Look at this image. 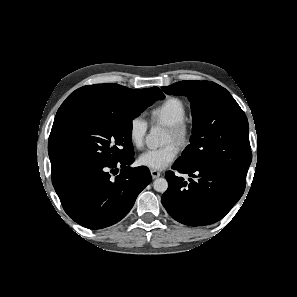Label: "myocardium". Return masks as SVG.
I'll return each instance as SVG.
<instances>
[{
    "label": "myocardium",
    "mask_w": 297,
    "mask_h": 297,
    "mask_svg": "<svg viewBox=\"0 0 297 297\" xmlns=\"http://www.w3.org/2000/svg\"><path fill=\"white\" fill-rule=\"evenodd\" d=\"M168 131L172 135L173 142H175L177 145L183 147L188 144L190 138V130L185 121L168 126Z\"/></svg>",
    "instance_id": "1"
}]
</instances>
